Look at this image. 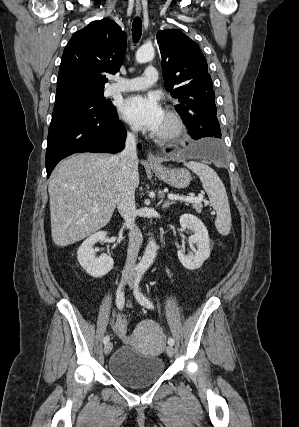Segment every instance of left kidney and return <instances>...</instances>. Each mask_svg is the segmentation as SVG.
<instances>
[{
    "label": "left kidney",
    "mask_w": 299,
    "mask_h": 427,
    "mask_svg": "<svg viewBox=\"0 0 299 427\" xmlns=\"http://www.w3.org/2000/svg\"><path fill=\"white\" fill-rule=\"evenodd\" d=\"M181 230L190 229L194 232L189 242L196 244L195 254H185L183 248L178 250L177 255L181 264L189 270H195L202 266L203 262L210 256L209 235L203 222L192 214H183L180 217Z\"/></svg>",
    "instance_id": "5707ae66"
}]
</instances>
